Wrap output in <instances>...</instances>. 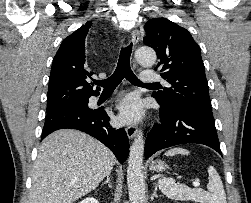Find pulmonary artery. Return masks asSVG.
Segmentation results:
<instances>
[{"label":"pulmonary artery","mask_w":251,"mask_h":203,"mask_svg":"<svg viewBox=\"0 0 251 203\" xmlns=\"http://www.w3.org/2000/svg\"><path fill=\"white\" fill-rule=\"evenodd\" d=\"M141 80L145 83H158L164 81L161 76L155 72H143L141 74Z\"/></svg>","instance_id":"pulmonary-artery-1"}]
</instances>
